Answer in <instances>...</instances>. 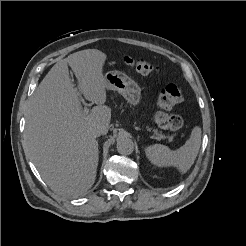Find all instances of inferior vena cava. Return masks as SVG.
I'll use <instances>...</instances> for the list:
<instances>
[{
  "instance_id": "obj_1",
  "label": "inferior vena cava",
  "mask_w": 246,
  "mask_h": 246,
  "mask_svg": "<svg viewBox=\"0 0 246 246\" xmlns=\"http://www.w3.org/2000/svg\"><path fill=\"white\" fill-rule=\"evenodd\" d=\"M106 128L104 126H96L92 129V135L96 138L103 134H106Z\"/></svg>"
}]
</instances>
